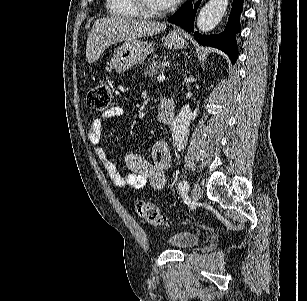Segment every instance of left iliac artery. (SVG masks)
<instances>
[{
  "label": "left iliac artery",
  "mask_w": 307,
  "mask_h": 301,
  "mask_svg": "<svg viewBox=\"0 0 307 301\" xmlns=\"http://www.w3.org/2000/svg\"><path fill=\"white\" fill-rule=\"evenodd\" d=\"M178 189L181 191V192H184V191H187L189 189V184L187 181H181L179 184H178Z\"/></svg>",
  "instance_id": "left-iliac-artery-1"
}]
</instances>
